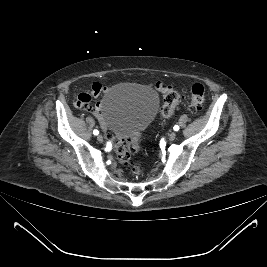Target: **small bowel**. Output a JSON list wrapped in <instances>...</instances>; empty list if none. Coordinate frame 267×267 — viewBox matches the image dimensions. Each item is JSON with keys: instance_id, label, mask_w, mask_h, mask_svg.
Segmentation results:
<instances>
[{"instance_id": "c3829d8e", "label": "small bowel", "mask_w": 267, "mask_h": 267, "mask_svg": "<svg viewBox=\"0 0 267 267\" xmlns=\"http://www.w3.org/2000/svg\"><path fill=\"white\" fill-rule=\"evenodd\" d=\"M154 87L159 92H167L170 87L162 82L155 83ZM107 90L101 83L94 82L91 89L87 92L80 93L76 98V106L80 109L92 112L97 118L101 119V104L97 103L92 105V100L100 96L103 92Z\"/></svg>"}]
</instances>
